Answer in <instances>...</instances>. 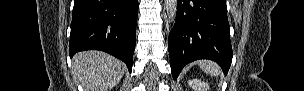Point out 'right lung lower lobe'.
Listing matches in <instances>:
<instances>
[{
    "label": "right lung lower lobe",
    "mask_w": 304,
    "mask_h": 91,
    "mask_svg": "<svg viewBox=\"0 0 304 91\" xmlns=\"http://www.w3.org/2000/svg\"><path fill=\"white\" fill-rule=\"evenodd\" d=\"M138 0H75L69 54L101 50L132 70Z\"/></svg>",
    "instance_id": "obj_1"
}]
</instances>
